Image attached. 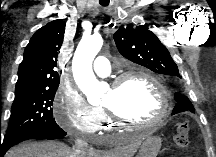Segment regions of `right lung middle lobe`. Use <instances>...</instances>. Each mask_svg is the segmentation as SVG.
Instances as JSON below:
<instances>
[{
	"instance_id": "1",
	"label": "right lung middle lobe",
	"mask_w": 216,
	"mask_h": 157,
	"mask_svg": "<svg viewBox=\"0 0 216 157\" xmlns=\"http://www.w3.org/2000/svg\"><path fill=\"white\" fill-rule=\"evenodd\" d=\"M57 88L32 90L15 96L9 126L2 143L30 132L58 128L51 107Z\"/></svg>"
}]
</instances>
